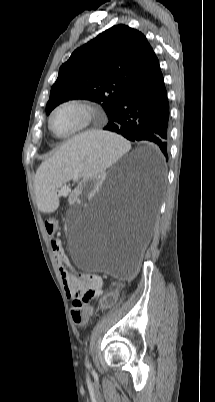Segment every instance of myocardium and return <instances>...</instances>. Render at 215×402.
Returning <instances> with one entry per match:
<instances>
[{
    "label": "myocardium",
    "mask_w": 215,
    "mask_h": 402,
    "mask_svg": "<svg viewBox=\"0 0 215 402\" xmlns=\"http://www.w3.org/2000/svg\"><path fill=\"white\" fill-rule=\"evenodd\" d=\"M68 107L76 108L83 113L82 123L79 127L69 133L58 134L53 128V118L58 111ZM97 114V108L92 103L80 99H69L59 103L56 107L53 108L48 118V128L50 132L59 139L73 138L88 130L92 126Z\"/></svg>",
    "instance_id": "obj_1"
}]
</instances>
